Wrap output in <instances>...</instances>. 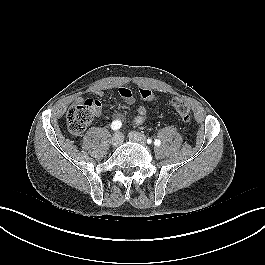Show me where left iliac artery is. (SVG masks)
Wrapping results in <instances>:
<instances>
[{
  "mask_svg": "<svg viewBox=\"0 0 265 265\" xmlns=\"http://www.w3.org/2000/svg\"><path fill=\"white\" fill-rule=\"evenodd\" d=\"M147 143L150 144V143H151V140L148 139V140H147ZM160 144H161V141H160L159 139H156V140L154 141V145H155V146H159Z\"/></svg>",
  "mask_w": 265,
  "mask_h": 265,
  "instance_id": "left-iliac-artery-1",
  "label": "left iliac artery"
}]
</instances>
